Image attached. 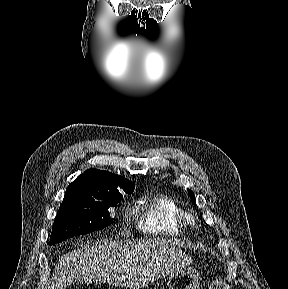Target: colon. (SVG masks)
Instances as JSON below:
<instances>
[{
    "label": "colon",
    "instance_id": "colon-1",
    "mask_svg": "<svg viewBox=\"0 0 288 289\" xmlns=\"http://www.w3.org/2000/svg\"><path fill=\"white\" fill-rule=\"evenodd\" d=\"M208 289H230V286L222 279H212L209 282Z\"/></svg>",
    "mask_w": 288,
    "mask_h": 289
}]
</instances>
